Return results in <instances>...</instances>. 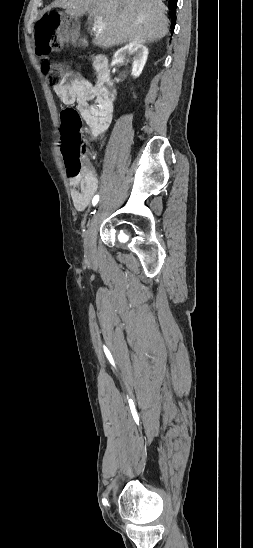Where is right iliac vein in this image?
I'll return each instance as SVG.
<instances>
[{
  "mask_svg": "<svg viewBox=\"0 0 253 548\" xmlns=\"http://www.w3.org/2000/svg\"><path fill=\"white\" fill-rule=\"evenodd\" d=\"M99 221H100V213L96 212L93 216L91 223L88 227L85 241H84V250L87 258L90 261H93L96 259L97 252H96V237L99 227Z\"/></svg>",
  "mask_w": 253,
  "mask_h": 548,
  "instance_id": "63e3f726",
  "label": "right iliac vein"
}]
</instances>
